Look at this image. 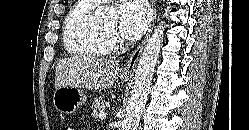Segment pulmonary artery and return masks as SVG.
Segmentation results:
<instances>
[{
	"mask_svg": "<svg viewBox=\"0 0 249 130\" xmlns=\"http://www.w3.org/2000/svg\"><path fill=\"white\" fill-rule=\"evenodd\" d=\"M93 1H95L97 3H100V2H106V1H109V0H93Z\"/></svg>",
	"mask_w": 249,
	"mask_h": 130,
	"instance_id": "1",
	"label": "pulmonary artery"
}]
</instances>
